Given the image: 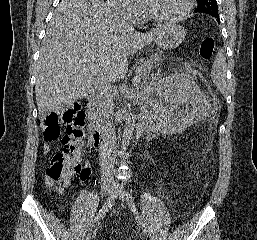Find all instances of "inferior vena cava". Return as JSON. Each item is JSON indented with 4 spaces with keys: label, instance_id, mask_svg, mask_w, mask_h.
Wrapping results in <instances>:
<instances>
[{
    "label": "inferior vena cava",
    "instance_id": "inferior-vena-cava-1",
    "mask_svg": "<svg viewBox=\"0 0 257 240\" xmlns=\"http://www.w3.org/2000/svg\"><path fill=\"white\" fill-rule=\"evenodd\" d=\"M128 26L132 27L131 25H128ZM108 116L110 117L111 115H108ZM114 143H115V138L112 137L111 147ZM113 167H114V157L111 153H108L106 156L103 157L102 170L111 171V170H113Z\"/></svg>",
    "mask_w": 257,
    "mask_h": 240
}]
</instances>
